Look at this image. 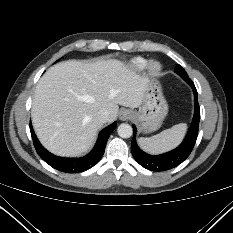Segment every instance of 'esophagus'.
<instances>
[{"label":"esophagus","instance_id":"34e87169","mask_svg":"<svg viewBox=\"0 0 233 233\" xmlns=\"http://www.w3.org/2000/svg\"><path fill=\"white\" fill-rule=\"evenodd\" d=\"M132 117V113L131 111L127 110V109H124L120 112L119 114V119L121 121H127L129 120L130 118Z\"/></svg>","mask_w":233,"mask_h":233}]
</instances>
